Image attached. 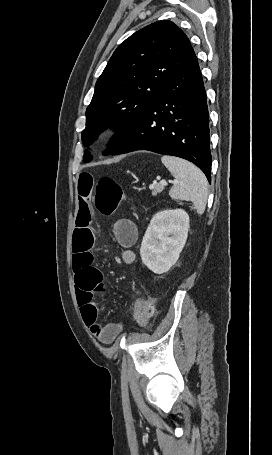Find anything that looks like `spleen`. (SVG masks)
Returning a JSON list of instances; mask_svg holds the SVG:
<instances>
[{"mask_svg":"<svg viewBox=\"0 0 272 455\" xmlns=\"http://www.w3.org/2000/svg\"><path fill=\"white\" fill-rule=\"evenodd\" d=\"M161 161L177 180L169 191L171 198L191 201L196 212L203 214L208 197V182L204 173L192 163L178 157L164 155Z\"/></svg>","mask_w":272,"mask_h":455,"instance_id":"obj_1","label":"spleen"}]
</instances>
